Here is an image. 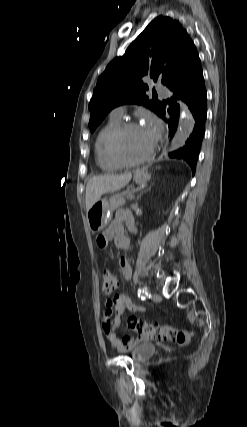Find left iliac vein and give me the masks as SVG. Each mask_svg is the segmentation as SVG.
Masks as SVG:
<instances>
[{
    "label": "left iliac vein",
    "instance_id": "4c4485c4",
    "mask_svg": "<svg viewBox=\"0 0 247 427\" xmlns=\"http://www.w3.org/2000/svg\"><path fill=\"white\" fill-rule=\"evenodd\" d=\"M151 299L154 302H159V301H161V296L159 294H157V293H154V294H152Z\"/></svg>",
    "mask_w": 247,
    "mask_h": 427
}]
</instances>
